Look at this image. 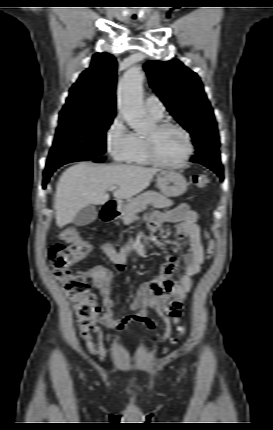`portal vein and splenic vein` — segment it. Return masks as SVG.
Instances as JSON below:
<instances>
[{"instance_id":"1","label":"portal vein and splenic vein","mask_w":273,"mask_h":430,"mask_svg":"<svg viewBox=\"0 0 273 430\" xmlns=\"http://www.w3.org/2000/svg\"><path fill=\"white\" fill-rule=\"evenodd\" d=\"M116 189H117L116 186H112V187L109 188V190H116Z\"/></svg>"}]
</instances>
